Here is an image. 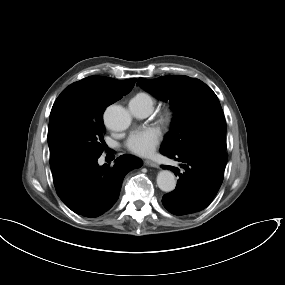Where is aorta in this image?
I'll list each match as a JSON object with an SVG mask.
<instances>
[{"label":"aorta","instance_id":"1","mask_svg":"<svg viewBox=\"0 0 285 285\" xmlns=\"http://www.w3.org/2000/svg\"><path fill=\"white\" fill-rule=\"evenodd\" d=\"M130 113L120 105L109 106L104 114L107 127L114 131L126 130L131 124ZM157 185L164 192H171L176 187L175 175L169 170H162L157 175Z\"/></svg>","mask_w":285,"mask_h":285}]
</instances>
